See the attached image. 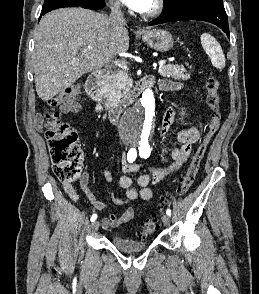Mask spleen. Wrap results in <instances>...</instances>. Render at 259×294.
Here are the masks:
<instances>
[{
  "mask_svg": "<svg viewBox=\"0 0 259 294\" xmlns=\"http://www.w3.org/2000/svg\"><path fill=\"white\" fill-rule=\"evenodd\" d=\"M201 44L206 54L209 56L212 65L222 70L225 67V55L217 40L208 33H203L200 37Z\"/></svg>",
  "mask_w": 259,
  "mask_h": 294,
  "instance_id": "obj_1",
  "label": "spleen"
}]
</instances>
